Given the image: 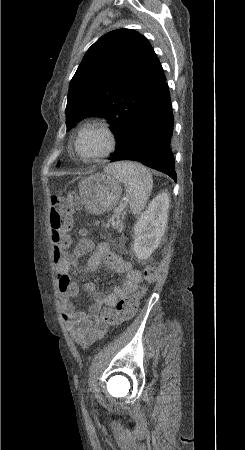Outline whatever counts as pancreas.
I'll use <instances>...</instances> for the list:
<instances>
[{"mask_svg": "<svg viewBox=\"0 0 245 450\" xmlns=\"http://www.w3.org/2000/svg\"><path fill=\"white\" fill-rule=\"evenodd\" d=\"M123 213H115L110 219L109 224L112 225V227L119 232L123 230Z\"/></svg>", "mask_w": 245, "mask_h": 450, "instance_id": "cf45deb5", "label": "pancreas"}]
</instances>
